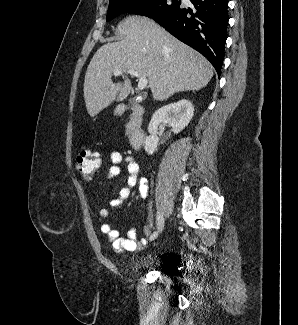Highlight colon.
Instances as JSON below:
<instances>
[{
    "mask_svg": "<svg viewBox=\"0 0 298 325\" xmlns=\"http://www.w3.org/2000/svg\"><path fill=\"white\" fill-rule=\"evenodd\" d=\"M99 154L88 148L82 149L76 157V170L86 181H91L99 167Z\"/></svg>",
    "mask_w": 298,
    "mask_h": 325,
    "instance_id": "1",
    "label": "colon"
}]
</instances>
